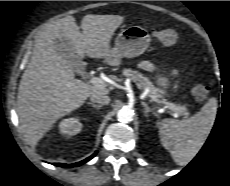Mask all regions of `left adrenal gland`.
<instances>
[{
  "label": "left adrenal gland",
  "instance_id": "left-adrenal-gland-1",
  "mask_svg": "<svg viewBox=\"0 0 230 186\" xmlns=\"http://www.w3.org/2000/svg\"><path fill=\"white\" fill-rule=\"evenodd\" d=\"M142 106L144 107V115L147 118L149 116V113L152 112V109H150L147 103L145 102H142Z\"/></svg>",
  "mask_w": 230,
  "mask_h": 186
}]
</instances>
